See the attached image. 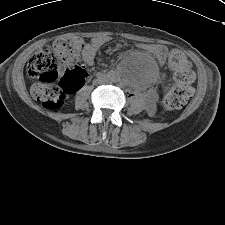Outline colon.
<instances>
[{"instance_id":"obj_1","label":"colon","mask_w":225,"mask_h":225,"mask_svg":"<svg viewBox=\"0 0 225 225\" xmlns=\"http://www.w3.org/2000/svg\"><path fill=\"white\" fill-rule=\"evenodd\" d=\"M83 40L78 37H61L52 45L41 48L29 61L27 75L36 81L31 94L42 107L57 109L65 103L68 94L79 90L85 83L87 73L77 66ZM173 85L164 94L162 105L165 109L182 108L193 96L191 84L194 73L189 60L181 51H172L168 57ZM64 77L58 81L59 73Z\"/></svg>"}]
</instances>
